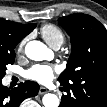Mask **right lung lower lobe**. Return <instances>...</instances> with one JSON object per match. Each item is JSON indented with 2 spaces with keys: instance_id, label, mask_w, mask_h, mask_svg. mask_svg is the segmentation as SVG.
I'll return each mask as SVG.
<instances>
[{
  "instance_id": "1",
  "label": "right lung lower lobe",
  "mask_w": 107,
  "mask_h": 107,
  "mask_svg": "<svg viewBox=\"0 0 107 107\" xmlns=\"http://www.w3.org/2000/svg\"><path fill=\"white\" fill-rule=\"evenodd\" d=\"M38 91L39 85L33 81H25L13 89L3 86L0 81V107H19L24 99L36 96Z\"/></svg>"
}]
</instances>
